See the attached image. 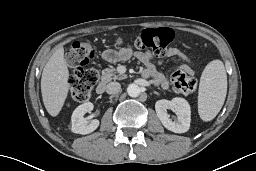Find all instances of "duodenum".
I'll use <instances>...</instances> for the list:
<instances>
[{"instance_id": "410a0bca", "label": "duodenum", "mask_w": 256, "mask_h": 171, "mask_svg": "<svg viewBox=\"0 0 256 171\" xmlns=\"http://www.w3.org/2000/svg\"><path fill=\"white\" fill-rule=\"evenodd\" d=\"M105 90H106V80L103 79L98 83L96 87V92L97 94H104Z\"/></svg>"}]
</instances>
